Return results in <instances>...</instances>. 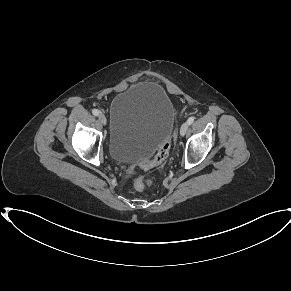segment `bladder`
Here are the masks:
<instances>
[{
    "instance_id": "obj_1",
    "label": "bladder",
    "mask_w": 291,
    "mask_h": 291,
    "mask_svg": "<svg viewBox=\"0 0 291 291\" xmlns=\"http://www.w3.org/2000/svg\"><path fill=\"white\" fill-rule=\"evenodd\" d=\"M175 118L171 99L153 82H137L110 106L108 152L118 163L145 161L170 139Z\"/></svg>"
}]
</instances>
